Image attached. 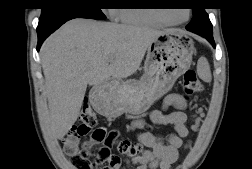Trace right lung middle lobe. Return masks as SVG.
Masks as SVG:
<instances>
[{"mask_svg": "<svg viewBox=\"0 0 252 169\" xmlns=\"http://www.w3.org/2000/svg\"><path fill=\"white\" fill-rule=\"evenodd\" d=\"M102 0H44L39 24L65 16L105 19Z\"/></svg>", "mask_w": 252, "mask_h": 169, "instance_id": "dd1d6c3e", "label": "right lung middle lobe"}]
</instances>
